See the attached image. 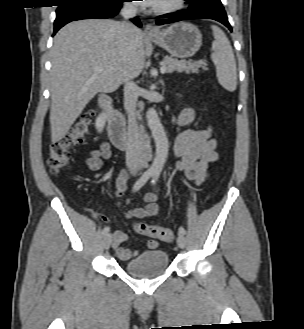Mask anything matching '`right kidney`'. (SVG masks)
Returning <instances> with one entry per match:
<instances>
[{"mask_svg": "<svg viewBox=\"0 0 304 329\" xmlns=\"http://www.w3.org/2000/svg\"><path fill=\"white\" fill-rule=\"evenodd\" d=\"M105 123H106V115L102 113L97 117L96 122H95V126H96V129L98 130V132H102V130L105 126Z\"/></svg>", "mask_w": 304, "mask_h": 329, "instance_id": "ca27d5eb", "label": "right kidney"}]
</instances>
